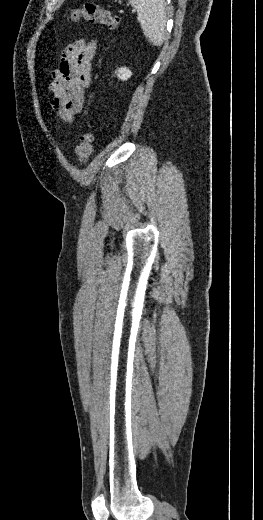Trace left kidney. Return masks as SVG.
Segmentation results:
<instances>
[{
  "mask_svg": "<svg viewBox=\"0 0 263 520\" xmlns=\"http://www.w3.org/2000/svg\"><path fill=\"white\" fill-rule=\"evenodd\" d=\"M131 76H132V72L126 67H121L117 71V77L119 79H121L122 81H126Z\"/></svg>",
  "mask_w": 263,
  "mask_h": 520,
  "instance_id": "5707ae66",
  "label": "left kidney"
}]
</instances>
